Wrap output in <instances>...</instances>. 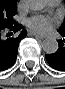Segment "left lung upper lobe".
<instances>
[{"label": "left lung upper lobe", "mask_w": 65, "mask_h": 89, "mask_svg": "<svg viewBox=\"0 0 65 89\" xmlns=\"http://www.w3.org/2000/svg\"><path fill=\"white\" fill-rule=\"evenodd\" d=\"M59 31L65 32V19H64V23H63L62 26L59 28Z\"/></svg>", "instance_id": "5c2ea615"}]
</instances>
